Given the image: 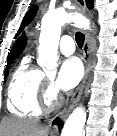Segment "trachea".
I'll use <instances>...</instances> for the list:
<instances>
[{"label":"trachea","instance_id":"trachea-1","mask_svg":"<svg viewBox=\"0 0 117 136\" xmlns=\"http://www.w3.org/2000/svg\"><path fill=\"white\" fill-rule=\"evenodd\" d=\"M75 39H76L78 46L82 47L83 44H84V39H85L84 34L81 33V32H77L76 35H75Z\"/></svg>","mask_w":117,"mask_h":136}]
</instances>
